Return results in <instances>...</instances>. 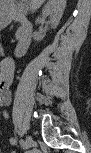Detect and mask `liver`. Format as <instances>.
<instances>
[{
    "instance_id": "1",
    "label": "liver",
    "mask_w": 91,
    "mask_h": 153,
    "mask_svg": "<svg viewBox=\"0 0 91 153\" xmlns=\"http://www.w3.org/2000/svg\"><path fill=\"white\" fill-rule=\"evenodd\" d=\"M45 0H29V8L31 11H36ZM64 3L66 4V1L64 0Z\"/></svg>"
}]
</instances>
